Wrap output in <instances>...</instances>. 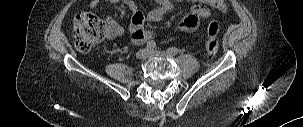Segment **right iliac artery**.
Wrapping results in <instances>:
<instances>
[{"label":"right iliac artery","mask_w":303,"mask_h":127,"mask_svg":"<svg viewBox=\"0 0 303 127\" xmlns=\"http://www.w3.org/2000/svg\"><path fill=\"white\" fill-rule=\"evenodd\" d=\"M156 47V43L154 41H149L146 44L147 50H153Z\"/></svg>","instance_id":"obj_1"}]
</instances>
